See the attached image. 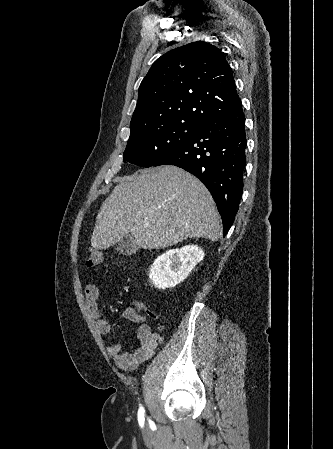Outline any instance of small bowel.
I'll list each match as a JSON object with an SVG mask.
<instances>
[{"instance_id": "1", "label": "small bowel", "mask_w": 333, "mask_h": 449, "mask_svg": "<svg viewBox=\"0 0 333 449\" xmlns=\"http://www.w3.org/2000/svg\"><path fill=\"white\" fill-rule=\"evenodd\" d=\"M85 297L90 317L93 319L96 329L100 334H108L111 325L108 320L101 315L98 299L99 289L96 283L90 282L85 286ZM122 316L134 323H138L137 339L138 347L133 352H124L120 343H111L107 345L106 351L114 363L124 371L134 370L143 362L152 357L157 347L162 342V337L154 333L145 323L142 315L138 314L134 309L128 308Z\"/></svg>"}]
</instances>
